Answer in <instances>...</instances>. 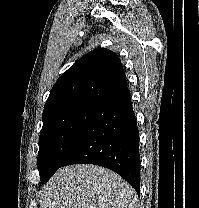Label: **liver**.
<instances>
[{"label": "liver", "mask_w": 199, "mask_h": 208, "mask_svg": "<svg viewBox=\"0 0 199 208\" xmlns=\"http://www.w3.org/2000/svg\"><path fill=\"white\" fill-rule=\"evenodd\" d=\"M40 194V208H138L135 190L121 176L92 164L58 169Z\"/></svg>", "instance_id": "6515ba94"}]
</instances>
